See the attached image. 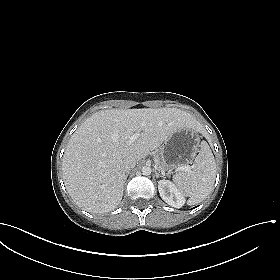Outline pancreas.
<instances>
[{
    "label": "pancreas",
    "instance_id": "cf45deb5",
    "mask_svg": "<svg viewBox=\"0 0 280 280\" xmlns=\"http://www.w3.org/2000/svg\"><path fill=\"white\" fill-rule=\"evenodd\" d=\"M154 161H155V163H156V165L158 166V169H159L160 171H166V170H165V167H164V165L162 164V162H161L160 157H159L158 154H155V156H154Z\"/></svg>",
    "mask_w": 280,
    "mask_h": 280
}]
</instances>
